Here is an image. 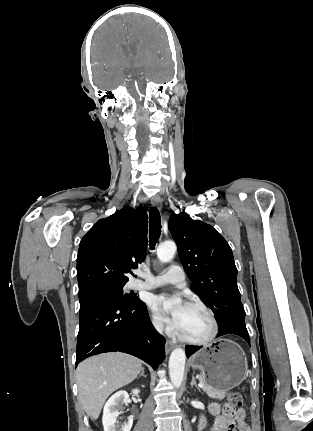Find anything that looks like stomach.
Here are the masks:
<instances>
[{
	"instance_id": "0dacf381",
	"label": "stomach",
	"mask_w": 313,
	"mask_h": 431,
	"mask_svg": "<svg viewBox=\"0 0 313 431\" xmlns=\"http://www.w3.org/2000/svg\"><path fill=\"white\" fill-rule=\"evenodd\" d=\"M190 366L201 372L206 385L222 391L240 385L248 371L242 348L228 339H220L202 348L190 358Z\"/></svg>"
}]
</instances>
